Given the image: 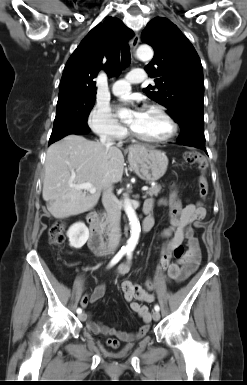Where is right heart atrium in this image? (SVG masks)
Returning <instances> with one entry per match:
<instances>
[{"label": "right heart atrium", "mask_w": 247, "mask_h": 385, "mask_svg": "<svg viewBox=\"0 0 247 385\" xmlns=\"http://www.w3.org/2000/svg\"><path fill=\"white\" fill-rule=\"evenodd\" d=\"M88 124L100 137L115 140L121 139L126 134V128L118 123L104 104L96 103L93 106L88 116Z\"/></svg>", "instance_id": "right-heart-atrium-1"}]
</instances>
